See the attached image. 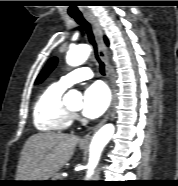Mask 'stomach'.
<instances>
[{"label": "stomach", "mask_w": 178, "mask_h": 186, "mask_svg": "<svg viewBox=\"0 0 178 186\" xmlns=\"http://www.w3.org/2000/svg\"><path fill=\"white\" fill-rule=\"evenodd\" d=\"M80 147L83 149L85 146L83 144H81Z\"/></svg>", "instance_id": "1"}]
</instances>
